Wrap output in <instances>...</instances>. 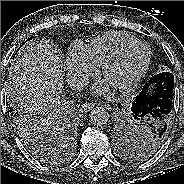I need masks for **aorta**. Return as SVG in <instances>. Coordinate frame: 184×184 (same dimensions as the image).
I'll list each match as a JSON object with an SVG mask.
<instances>
[{
    "label": "aorta",
    "mask_w": 184,
    "mask_h": 184,
    "mask_svg": "<svg viewBox=\"0 0 184 184\" xmlns=\"http://www.w3.org/2000/svg\"><path fill=\"white\" fill-rule=\"evenodd\" d=\"M91 121L94 125H104L109 120V113L108 111L103 107H95L91 110Z\"/></svg>",
    "instance_id": "762f6f07"
}]
</instances>
